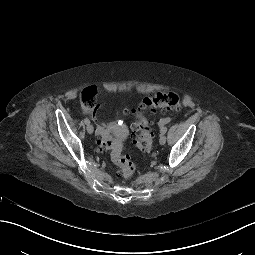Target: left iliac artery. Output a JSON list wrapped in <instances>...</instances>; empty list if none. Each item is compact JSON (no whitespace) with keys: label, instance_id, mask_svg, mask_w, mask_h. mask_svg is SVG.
Returning <instances> with one entry per match:
<instances>
[{"label":"left iliac artery","instance_id":"44dca946","mask_svg":"<svg viewBox=\"0 0 255 255\" xmlns=\"http://www.w3.org/2000/svg\"><path fill=\"white\" fill-rule=\"evenodd\" d=\"M160 132H161L162 134H165V133L167 132V127H162L161 130H160Z\"/></svg>","mask_w":255,"mask_h":255}]
</instances>
